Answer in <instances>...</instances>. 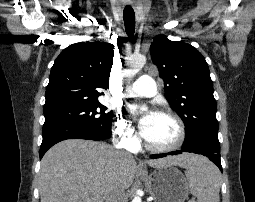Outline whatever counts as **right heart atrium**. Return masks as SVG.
<instances>
[{"instance_id":"obj_1","label":"right heart atrium","mask_w":255,"mask_h":202,"mask_svg":"<svg viewBox=\"0 0 255 202\" xmlns=\"http://www.w3.org/2000/svg\"><path fill=\"white\" fill-rule=\"evenodd\" d=\"M113 133L123 147L127 149H133L136 147L138 143L136 131L131 122L121 113L116 116Z\"/></svg>"}]
</instances>
